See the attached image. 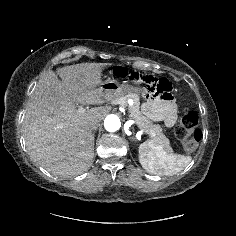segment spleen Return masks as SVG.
<instances>
[{
    "instance_id": "spleen-1",
    "label": "spleen",
    "mask_w": 236,
    "mask_h": 236,
    "mask_svg": "<svg viewBox=\"0 0 236 236\" xmlns=\"http://www.w3.org/2000/svg\"><path fill=\"white\" fill-rule=\"evenodd\" d=\"M139 162L149 173L172 176L183 170L191 156L173 154L154 142L147 141L138 148Z\"/></svg>"
}]
</instances>
